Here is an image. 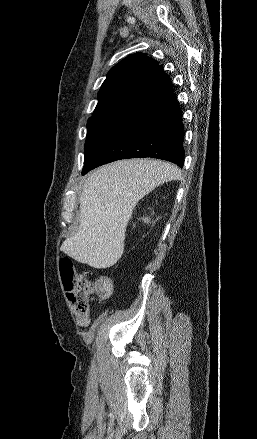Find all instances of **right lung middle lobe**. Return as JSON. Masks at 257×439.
I'll list each match as a JSON object with an SVG mask.
<instances>
[{
  "mask_svg": "<svg viewBox=\"0 0 257 439\" xmlns=\"http://www.w3.org/2000/svg\"><path fill=\"white\" fill-rule=\"evenodd\" d=\"M125 120L124 117L116 116H99L88 119L84 164Z\"/></svg>",
  "mask_w": 257,
  "mask_h": 439,
  "instance_id": "dd1d6c3e",
  "label": "right lung middle lobe"
}]
</instances>
